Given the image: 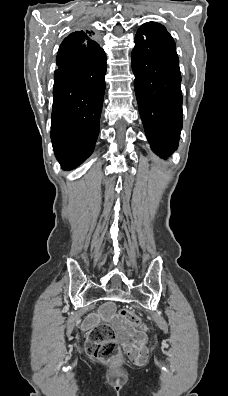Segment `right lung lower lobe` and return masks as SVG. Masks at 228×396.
I'll list each match as a JSON object with an SVG mask.
<instances>
[{
	"label": "right lung lower lobe",
	"mask_w": 228,
	"mask_h": 396,
	"mask_svg": "<svg viewBox=\"0 0 228 396\" xmlns=\"http://www.w3.org/2000/svg\"><path fill=\"white\" fill-rule=\"evenodd\" d=\"M56 63L51 140L62 168L69 170L94 150L105 92L106 54L98 44L82 51L63 43Z\"/></svg>",
	"instance_id": "98d812e1"
}]
</instances>
